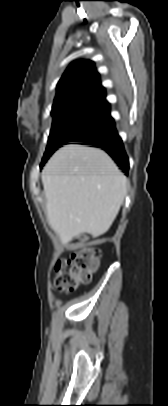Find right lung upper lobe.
I'll use <instances>...</instances> for the list:
<instances>
[{
    "instance_id": "obj_1",
    "label": "right lung upper lobe",
    "mask_w": 168,
    "mask_h": 406,
    "mask_svg": "<svg viewBox=\"0 0 168 406\" xmlns=\"http://www.w3.org/2000/svg\"><path fill=\"white\" fill-rule=\"evenodd\" d=\"M94 63L82 60L72 63L57 85L52 112L81 105L109 106Z\"/></svg>"
}]
</instances>
